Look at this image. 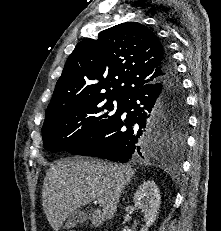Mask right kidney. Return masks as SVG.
Returning <instances> with one entry per match:
<instances>
[{
    "mask_svg": "<svg viewBox=\"0 0 221 231\" xmlns=\"http://www.w3.org/2000/svg\"><path fill=\"white\" fill-rule=\"evenodd\" d=\"M134 203L144 213L146 225L140 231H148V228L156 221L161 204L160 191L154 181L141 184L134 195ZM123 231H129L124 229Z\"/></svg>",
    "mask_w": 221,
    "mask_h": 231,
    "instance_id": "1",
    "label": "right kidney"
}]
</instances>
